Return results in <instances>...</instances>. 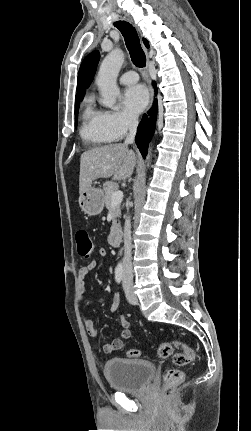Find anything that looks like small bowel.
<instances>
[{
	"label": "small bowel",
	"mask_w": 251,
	"mask_h": 431,
	"mask_svg": "<svg viewBox=\"0 0 251 431\" xmlns=\"http://www.w3.org/2000/svg\"><path fill=\"white\" fill-rule=\"evenodd\" d=\"M98 254L101 257H104L106 256L107 251L105 248L101 247L98 249ZM97 266H98V263L96 261H91L90 263L83 265L78 269L77 280H76V293H77V301L79 304L82 302L84 293H85V279L88 276V274L92 272ZM119 304H120L119 295L115 294L111 304V312L116 313L119 309ZM83 322L89 336L93 338H97L98 327L95 321L91 317L84 315ZM120 325L122 329L120 331L119 336L114 340L105 343L102 347H97V349L100 352L104 354H111L115 351H118L122 348L123 342L131 337V329H130L131 324L124 315L120 316Z\"/></svg>",
	"instance_id": "obj_1"
}]
</instances>
